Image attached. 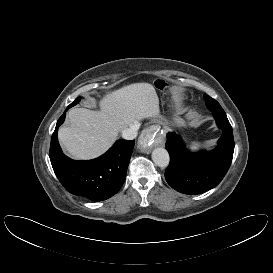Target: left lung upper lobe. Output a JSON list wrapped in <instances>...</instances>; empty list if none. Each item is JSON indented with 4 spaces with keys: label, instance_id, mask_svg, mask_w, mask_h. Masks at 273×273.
Instances as JSON below:
<instances>
[{
    "label": "left lung upper lobe",
    "instance_id": "left-lung-upper-lobe-1",
    "mask_svg": "<svg viewBox=\"0 0 273 273\" xmlns=\"http://www.w3.org/2000/svg\"><path fill=\"white\" fill-rule=\"evenodd\" d=\"M204 100L206 102V106L213 112V113H221L224 114V110L220 106V104L207 94H204Z\"/></svg>",
    "mask_w": 273,
    "mask_h": 273
}]
</instances>
